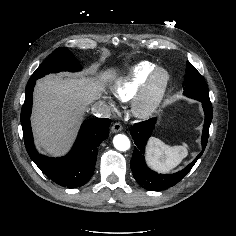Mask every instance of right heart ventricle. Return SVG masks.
<instances>
[{
    "instance_id": "right-heart-ventricle-1",
    "label": "right heart ventricle",
    "mask_w": 236,
    "mask_h": 236,
    "mask_svg": "<svg viewBox=\"0 0 236 236\" xmlns=\"http://www.w3.org/2000/svg\"><path fill=\"white\" fill-rule=\"evenodd\" d=\"M157 68V65L142 61L133 66L127 75L119 80L113 87V94L121 102L132 101L139 93L151 72Z\"/></svg>"
}]
</instances>
